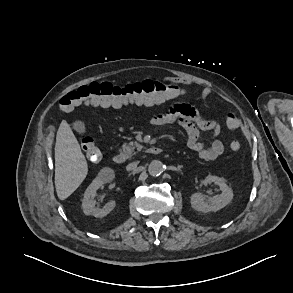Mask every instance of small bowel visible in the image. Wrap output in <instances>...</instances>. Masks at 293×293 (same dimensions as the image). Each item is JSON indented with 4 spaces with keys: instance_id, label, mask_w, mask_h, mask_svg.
Returning <instances> with one entry per match:
<instances>
[{
    "instance_id": "obj_1",
    "label": "small bowel",
    "mask_w": 293,
    "mask_h": 293,
    "mask_svg": "<svg viewBox=\"0 0 293 293\" xmlns=\"http://www.w3.org/2000/svg\"><path fill=\"white\" fill-rule=\"evenodd\" d=\"M169 79L174 82H179L176 78ZM210 95L211 90L205 88L201 93L202 101L206 103ZM164 101H148L144 99L137 101L136 104L139 106L150 107L158 105ZM150 124L153 126H165L171 124L181 126L187 134V145L189 149L204 161H213L224 152V145L218 138L220 134V126L214 121L202 118L199 111L189 104H175L171 106L166 112L151 117ZM202 131L211 132L212 140L209 145H205L199 140Z\"/></svg>"
}]
</instances>
